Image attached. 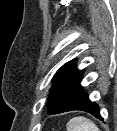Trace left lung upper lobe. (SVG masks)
Wrapping results in <instances>:
<instances>
[{
	"label": "left lung upper lobe",
	"instance_id": "obj_1",
	"mask_svg": "<svg viewBox=\"0 0 117 131\" xmlns=\"http://www.w3.org/2000/svg\"><path fill=\"white\" fill-rule=\"evenodd\" d=\"M82 75L83 71L76 68L75 60L66 63L56 72L48 99L50 114L62 113L72 103L73 92L82 90Z\"/></svg>",
	"mask_w": 117,
	"mask_h": 131
}]
</instances>
